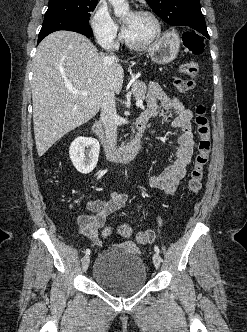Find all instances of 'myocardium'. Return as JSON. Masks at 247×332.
Wrapping results in <instances>:
<instances>
[{
    "mask_svg": "<svg viewBox=\"0 0 247 332\" xmlns=\"http://www.w3.org/2000/svg\"><path fill=\"white\" fill-rule=\"evenodd\" d=\"M135 13L149 17L154 23V27H155L154 32L146 40L141 41V42H134L127 37V35L125 33V29H123L122 33H121V39L128 47H130L132 49H144V48H147L148 46H150L153 42H155L161 36L162 26H161V22H160L159 18L152 11L138 10Z\"/></svg>",
    "mask_w": 247,
    "mask_h": 332,
    "instance_id": "myocardium-1",
    "label": "myocardium"
}]
</instances>
